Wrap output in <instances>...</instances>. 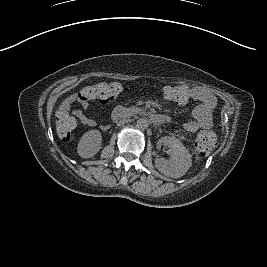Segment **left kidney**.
<instances>
[{
  "mask_svg": "<svg viewBox=\"0 0 267 267\" xmlns=\"http://www.w3.org/2000/svg\"><path fill=\"white\" fill-rule=\"evenodd\" d=\"M168 147L171 158H156L154 163L157 170L170 178H180L185 175L192 165L188 149L175 137L164 136L159 139L158 145Z\"/></svg>",
  "mask_w": 267,
  "mask_h": 267,
  "instance_id": "1",
  "label": "left kidney"
}]
</instances>
